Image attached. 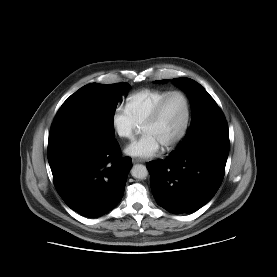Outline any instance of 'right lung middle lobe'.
<instances>
[{"mask_svg": "<svg viewBox=\"0 0 277 277\" xmlns=\"http://www.w3.org/2000/svg\"><path fill=\"white\" fill-rule=\"evenodd\" d=\"M127 83L83 86L60 107L54 121L71 120L87 124L97 132L114 138V114Z\"/></svg>", "mask_w": 277, "mask_h": 277, "instance_id": "1", "label": "right lung middle lobe"}]
</instances>
